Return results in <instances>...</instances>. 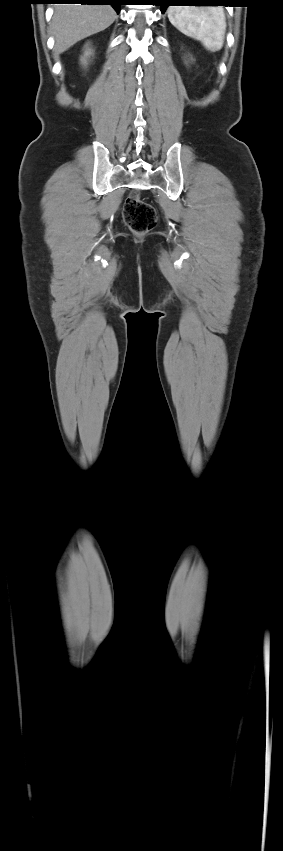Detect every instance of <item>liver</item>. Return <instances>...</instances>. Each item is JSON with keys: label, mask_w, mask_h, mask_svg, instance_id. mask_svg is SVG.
<instances>
[{"label": "liver", "mask_w": 283, "mask_h": 851, "mask_svg": "<svg viewBox=\"0 0 283 851\" xmlns=\"http://www.w3.org/2000/svg\"><path fill=\"white\" fill-rule=\"evenodd\" d=\"M116 18L109 5H56L51 23L55 53L61 54L78 41L105 30Z\"/></svg>", "instance_id": "1"}]
</instances>
